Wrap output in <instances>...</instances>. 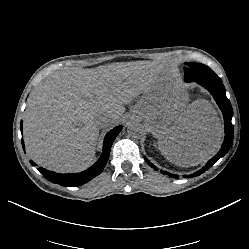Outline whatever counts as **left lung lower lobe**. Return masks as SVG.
Instances as JSON below:
<instances>
[{"label": "left lung lower lobe", "instance_id": "left-lung-lower-lobe-1", "mask_svg": "<svg viewBox=\"0 0 249 249\" xmlns=\"http://www.w3.org/2000/svg\"><path fill=\"white\" fill-rule=\"evenodd\" d=\"M196 82L200 84L201 86H203L204 88H206L213 95L216 103L221 109L223 117H224L225 140L222 144L220 151L212 159H210L202 169L195 172L191 176H199L200 174L204 173L205 170H208L212 165H214L221 157H223L229 151V148L233 141V135H234L233 126L231 123L233 110H232L229 100L226 97V91H225L224 85L222 84V80L219 77H216V78L199 79V80H196ZM145 160L149 166H151L155 170H158L156 166H154L146 157H145ZM161 172L162 174H166L171 177L174 176L178 178V175H172L171 173H167L162 170ZM188 177H190V175Z\"/></svg>", "mask_w": 249, "mask_h": 249}]
</instances>
